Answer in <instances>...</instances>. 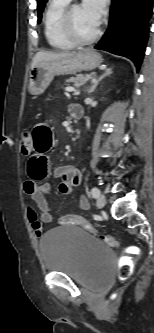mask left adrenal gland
<instances>
[{
	"label": "left adrenal gland",
	"mask_w": 154,
	"mask_h": 333,
	"mask_svg": "<svg viewBox=\"0 0 154 333\" xmlns=\"http://www.w3.org/2000/svg\"><path fill=\"white\" fill-rule=\"evenodd\" d=\"M112 73V69H106L104 74L101 75L98 79L96 80H93V85L91 86V88L89 89L88 93H92L96 87L98 86V84L106 77V76H109L111 75Z\"/></svg>",
	"instance_id": "a2214340"
}]
</instances>
